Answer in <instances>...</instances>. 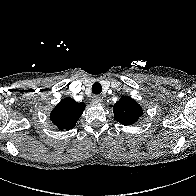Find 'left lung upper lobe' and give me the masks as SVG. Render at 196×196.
Returning <instances> with one entry per match:
<instances>
[{"mask_svg":"<svg viewBox=\"0 0 196 196\" xmlns=\"http://www.w3.org/2000/svg\"><path fill=\"white\" fill-rule=\"evenodd\" d=\"M114 119L123 125H132L142 116L141 106L132 98L123 96L113 106Z\"/></svg>","mask_w":196,"mask_h":196,"instance_id":"left-lung-upper-lobe-1","label":"left lung upper lobe"}]
</instances>
